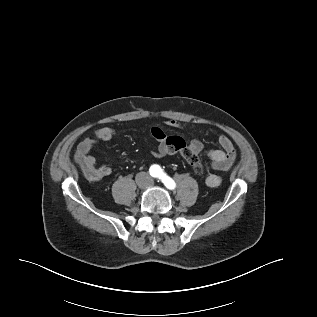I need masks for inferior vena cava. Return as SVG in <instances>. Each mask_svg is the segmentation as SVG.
I'll return each mask as SVG.
<instances>
[{
  "mask_svg": "<svg viewBox=\"0 0 317 317\" xmlns=\"http://www.w3.org/2000/svg\"><path fill=\"white\" fill-rule=\"evenodd\" d=\"M142 180L148 182L150 180V176L146 172L138 173L136 176V181L141 182Z\"/></svg>",
  "mask_w": 317,
  "mask_h": 317,
  "instance_id": "602c4592",
  "label": "inferior vena cava"
}]
</instances>
